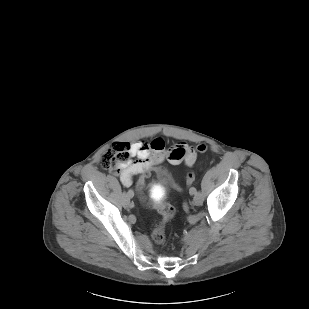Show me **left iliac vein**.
I'll list each match as a JSON object with an SVG mask.
<instances>
[{"instance_id":"4c4485c4","label":"left iliac vein","mask_w":309,"mask_h":309,"mask_svg":"<svg viewBox=\"0 0 309 309\" xmlns=\"http://www.w3.org/2000/svg\"><path fill=\"white\" fill-rule=\"evenodd\" d=\"M194 205H201L203 203V195L201 192H196L193 198Z\"/></svg>"}]
</instances>
